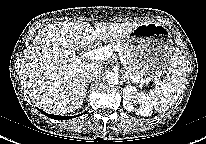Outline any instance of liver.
<instances>
[{"mask_svg": "<svg viewBox=\"0 0 206 144\" xmlns=\"http://www.w3.org/2000/svg\"><path fill=\"white\" fill-rule=\"evenodd\" d=\"M139 24L88 22L51 24L38 33L22 58L21 78L30 98L46 112L64 115L78 109L85 98L90 64L99 61L79 59L72 49L96 39L126 38Z\"/></svg>", "mask_w": 206, "mask_h": 144, "instance_id": "obj_1", "label": "liver"}]
</instances>
